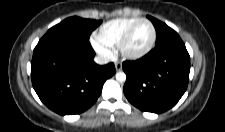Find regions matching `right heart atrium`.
Segmentation results:
<instances>
[{
	"label": "right heart atrium",
	"instance_id": "obj_1",
	"mask_svg": "<svg viewBox=\"0 0 225 132\" xmlns=\"http://www.w3.org/2000/svg\"><path fill=\"white\" fill-rule=\"evenodd\" d=\"M94 46L100 54H102L104 56H110L111 55V50L107 46L101 44L100 42L94 41Z\"/></svg>",
	"mask_w": 225,
	"mask_h": 132
}]
</instances>
